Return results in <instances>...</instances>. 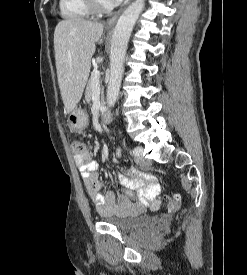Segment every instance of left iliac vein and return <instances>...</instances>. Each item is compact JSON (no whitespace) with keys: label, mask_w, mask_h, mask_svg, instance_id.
Masks as SVG:
<instances>
[{"label":"left iliac vein","mask_w":247,"mask_h":275,"mask_svg":"<svg viewBox=\"0 0 247 275\" xmlns=\"http://www.w3.org/2000/svg\"><path fill=\"white\" fill-rule=\"evenodd\" d=\"M136 149L138 150V153L136 154L137 164L140 165L141 167L149 166L151 164L150 160H148L142 156L143 148L138 146V147H136Z\"/></svg>","instance_id":"obj_1"}]
</instances>
